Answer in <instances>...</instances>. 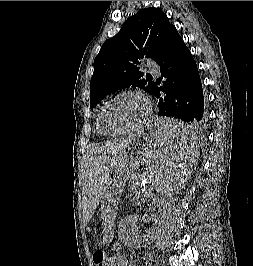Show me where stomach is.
Returning a JSON list of instances; mask_svg holds the SVG:
<instances>
[{
    "label": "stomach",
    "instance_id": "1",
    "mask_svg": "<svg viewBox=\"0 0 253 266\" xmlns=\"http://www.w3.org/2000/svg\"><path fill=\"white\" fill-rule=\"evenodd\" d=\"M159 138H164L161 132L151 133L145 142L138 136L115 157L105 175V188L109 196L104 199L105 213L102 223V243L109 244L113 239V227L117 216L118 201L122 191L123 183L136 170L140 160H151L147 158V151L152 145H158ZM111 198V201H110Z\"/></svg>",
    "mask_w": 253,
    "mask_h": 266
}]
</instances>
